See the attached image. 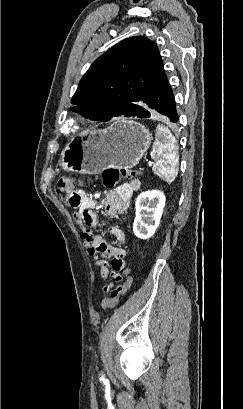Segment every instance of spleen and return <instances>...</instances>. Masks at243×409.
<instances>
[{"instance_id":"3e777b00","label":"spleen","mask_w":243,"mask_h":409,"mask_svg":"<svg viewBox=\"0 0 243 409\" xmlns=\"http://www.w3.org/2000/svg\"><path fill=\"white\" fill-rule=\"evenodd\" d=\"M151 157L156 161L152 168L154 174L166 182L174 181L178 173V146L174 135L164 125L156 127Z\"/></svg>"}]
</instances>
